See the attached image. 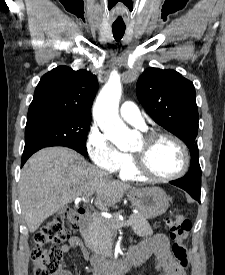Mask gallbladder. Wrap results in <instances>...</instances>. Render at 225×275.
<instances>
[{
  "instance_id": "bac80fb5",
  "label": "gallbladder",
  "mask_w": 225,
  "mask_h": 275,
  "mask_svg": "<svg viewBox=\"0 0 225 275\" xmlns=\"http://www.w3.org/2000/svg\"><path fill=\"white\" fill-rule=\"evenodd\" d=\"M63 212V209L59 210V213H62Z\"/></svg>"
}]
</instances>
